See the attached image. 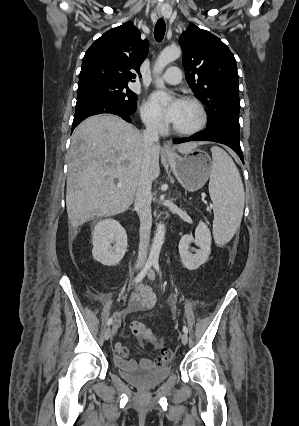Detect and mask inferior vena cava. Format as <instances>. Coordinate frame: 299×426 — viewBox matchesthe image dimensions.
<instances>
[{
    "label": "inferior vena cava",
    "instance_id": "1",
    "mask_svg": "<svg viewBox=\"0 0 299 426\" xmlns=\"http://www.w3.org/2000/svg\"><path fill=\"white\" fill-rule=\"evenodd\" d=\"M146 129L143 132V141L146 149V154L143 159L141 176L135 196L134 208L140 219V242L137 257V266H141L147 259V251L150 241V233L152 227V180L150 178V161L151 150L158 144L160 124L157 120L146 119Z\"/></svg>",
    "mask_w": 299,
    "mask_h": 426
}]
</instances>
